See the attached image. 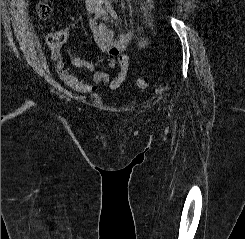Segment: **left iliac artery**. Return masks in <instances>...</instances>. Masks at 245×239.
Segmentation results:
<instances>
[{
  "label": "left iliac artery",
  "mask_w": 245,
  "mask_h": 239,
  "mask_svg": "<svg viewBox=\"0 0 245 239\" xmlns=\"http://www.w3.org/2000/svg\"><path fill=\"white\" fill-rule=\"evenodd\" d=\"M105 5H106L107 11L110 13V15H111L114 19H116V20L119 21V17H118V15H117L116 11L114 10L113 6L111 5V3L107 1V2L105 3Z\"/></svg>",
  "instance_id": "left-iliac-artery-1"
}]
</instances>
